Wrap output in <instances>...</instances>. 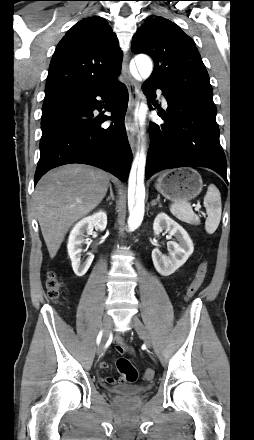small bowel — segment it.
I'll list each match as a JSON object with an SVG mask.
<instances>
[{"instance_id": "small-bowel-1", "label": "small bowel", "mask_w": 254, "mask_h": 440, "mask_svg": "<svg viewBox=\"0 0 254 440\" xmlns=\"http://www.w3.org/2000/svg\"><path fill=\"white\" fill-rule=\"evenodd\" d=\"M115 346L118 352H129L131 351V348L124 342V340L121 337H116L115 339ZM109 367L108 362L101 361L100 362V368L101 369H107ZM124 380L122 378L116 379L114 377H106L104 378V382L107 384H115L116 382H123Z\"/></svg>"}]
</instances>
